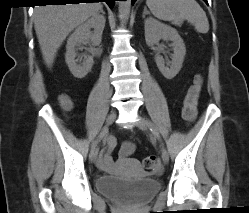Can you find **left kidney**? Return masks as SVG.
Returning <instances> with one entry per match:
<instances>
[{
	"label": "left kidney",
	"instance_id": "left-kidney-1",
	"mask_svg": "<svg viewBox=\"0 0 249 213\" xmlns=\"http://www.w3.org/2000/svg\"><path fill=\"white\" fill-rule=\"evenodd\" d=\"M161 39L172 41L174 53L171 56L170 67L165 66L162 56L156 55L155 62L159 71L166 79H173L182 68V63L186 54L185 44L176 29L166 25L152 17L145 20V40L147 45L153 46Z\"/></svg>",
	"mask_w": 249,
	"mask_h": 213
}]
</instances>
